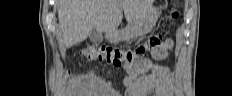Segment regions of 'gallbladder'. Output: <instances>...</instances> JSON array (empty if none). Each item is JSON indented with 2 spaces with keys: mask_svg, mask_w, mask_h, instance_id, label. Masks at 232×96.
<instances>
[{
  "mask_svg": "<svg viewBox=\"0 0 232 96\" xmlns=\"http://www.w3.org/2000/svg\"><path fill=\"white\" fill-rule=\"evenodd\" d=\"M89 38L94 43H100L103 39V36L100 32L93 28L90 32Z\"/></svg>",
  "mask_w": 232,
  "mask_h": 96,
  "instance_id": "bac80fb5",
  "label": "gallbladder"
}]
</instances>
